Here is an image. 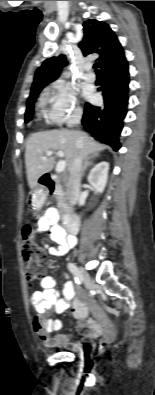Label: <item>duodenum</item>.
Segmentation results:
<instances>
[{
    "instance_id": "obj_1",
    "label": "duodenum",
    "mask_w": 155,
    "mask_h": 395,
    "mask_svg": "<svg viewBox=\"0 0 155 395\" xmlns=\"http://www.w3.org/2000/svg\"><path fill=\"white\" fill-rule=\"evenodd\" d=\"M43 185L50 190L54 189V181L50 176L45 177ZM64 225L69 233L75 234L80 228V219L75 214L68 213L64 216Z\"/></svg>"
}]
</instances>
